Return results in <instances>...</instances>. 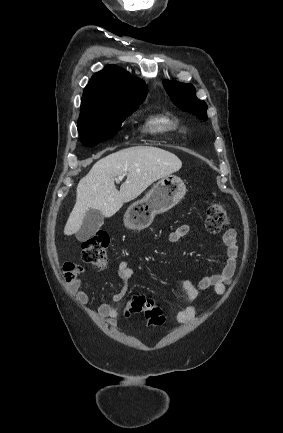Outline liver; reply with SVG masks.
Listing matches in <instances>:
<instances>
[{
    "mask_svg": "<svg viewBox=\"0 0 283 433\" xmlns=\"http://www.w3.org/2000/svg\"><path fill=\"white\" fill-rule=\"evenodd\" d=\"M181 166L176 154L157 146H130L100 158L78 182L76 202L65 225V235L80 231L89 208L101 210L104 217H112L124 202L133 200L154 180L176 172ZM125 172L127 178L117 190L115 176Z\"/></svg>",
    "mask_w": 283,
    "mask_h": 433,
    "instance_id": "1",
    "label": "liver"
}]
</instances>
